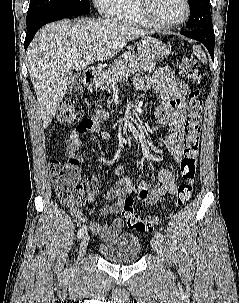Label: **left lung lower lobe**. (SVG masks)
I'll list each match as a JSON object with an SVG mask.
<instances>
[{
  "instance_id": "obj_1",
  "label": "left lung lower lobe",
  "mask_w": 239,
  "mask_h": 303,
  "mask_svg": "<svg viewBox=\"0 0 239 303\" xmlns=\"http://www.w3.org/2000/svg\"><path fill=\"white\" fill-rule=\"evenodd\" d=\"M181 34L203 43L208 49L211 58L214 59L215 36L213 29H193L181 32Z\"/></svg>"
}]
</instances>
